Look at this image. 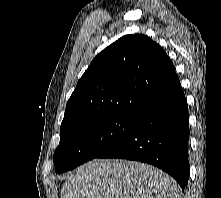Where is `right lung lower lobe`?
Returning <instances> with one entry per match:
<instances>
[{
	"label": "right lung lower lobe",
	"mask_w": 221,
	"mask_h": 198,
	"mask_svg": "<svg viewBox=\"0 0 221 198\" xmlns=\"http://www.w3.org/2000/svg\"><path fill=\"white\" fill-rule=\"evenodd\" d=\"M188 108L181 85L140 116L134 128L96 158H119L154 165L184 191L189 179Z\"/></svg>",
	"instance_id": "obj_1"
}]
</instances>
